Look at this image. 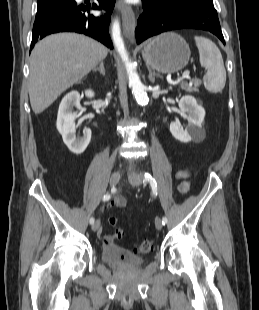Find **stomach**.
<instances>
[{
    "label": "stomach",
    "mask_w": 259,
    "mask_h": 310,
    "mask_svg": "<svg viewBox=\"0 0 259 310\" xmlns=\"http://www.w3.org/2000/svg\"><path fill=\"white\" fill-rule=\"evenodd\" d=\"M190 54L189 45L175 33L157 36L142 50V57L147 66L160 73L182 70L188 64Z\"/></svg>",
    "instance_id": "stomach-1"
}]
</instances>
